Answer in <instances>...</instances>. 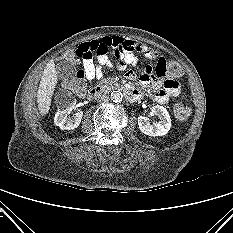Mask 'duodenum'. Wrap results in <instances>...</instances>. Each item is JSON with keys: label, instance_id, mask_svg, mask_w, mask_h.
Masks as SVG:
<instances>
[{"label": "duodenum", "instance_id": "410a0bca", "mask_svg": "<svg viewBox=\"0 0 233 233\" xmlns=\"http://www.w3.org/2000/svg\"><path fill=\"white\" fill-rule=\"evenodd\" d=\"M113 89L119 90L121 91L128 99L130 100H134L136 99V94L134 91H131L123 86L120 85H115L113 86ZM104 92V88L103 87H94L92 89H90L87 93L88 98L90 99H95L98 96H100L102 93Z\"/></svg>", "mask_w": 233, "mask_h": 233}]
</instances>
